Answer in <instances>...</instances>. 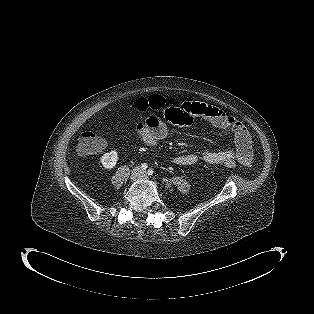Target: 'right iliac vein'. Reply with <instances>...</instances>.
<instances>
[{
	"label": "right iliac vein",
	"mask_w": 314,
	"mask_h": 314,
	"mask_svg": "<svg viewBox=\"0 0 314 314\" xmlns=\"http://www.w3.org/2000/svg\"><path fill=\"white\" fill-rule=\"evenodd\" d=\"M140 175H141V171L139 168H135L132 173H131V176H130V180L131 181H136L138 178H140Z\"/></svg>",
	"instance_id": "63e3f726"
}]
</instances>
